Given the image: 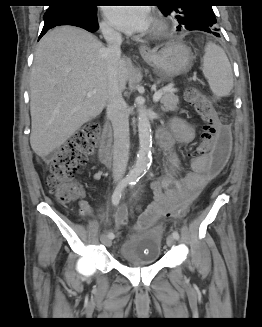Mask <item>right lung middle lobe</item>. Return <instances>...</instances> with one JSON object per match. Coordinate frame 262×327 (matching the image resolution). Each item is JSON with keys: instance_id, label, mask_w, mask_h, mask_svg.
Instances as JSON below:
<instances>
[{"instance_id": "obj_1", "label": "right lung middle lobe", "mask_w": 262, "mask_h": 327, "mask_svg": "<svg viewBox=\"0 0 262 327\" xmlns=\"http://www.w3.org/2000/svg\"><path fill=\"white\" fill-rule=\"evenodd\" d=\"M60 2L66 3V5L74 6L84 10H95L97 7L95 5H75L73 4L76 0H59Z\"/></svg>"}]
</instances>
